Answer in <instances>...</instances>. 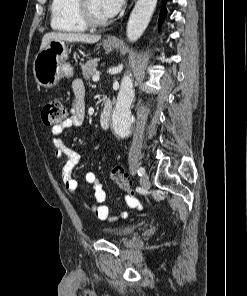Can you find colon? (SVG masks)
Returning a JSON list of instances; mask_svg holds the SVG:
<instances>
[{"label": "colon", "mask_w": 247, "mask_h": 296, "mask_svg": "<svg viewBox=\"0 0 247 296\" xmlns=\"http://www.w3.org/2000/svg\"><path fill=\"white\" fill-rule=\"evenodd\" d=\"M66 116V108L58 99L49 100L43 107L42 120L48 126H55L63 122ZM110 177L120 189L125 192H131V186L128 182L124 169L116 166L111 170Z\"/></svg>", "instance_id": "1"}]
</instances>
